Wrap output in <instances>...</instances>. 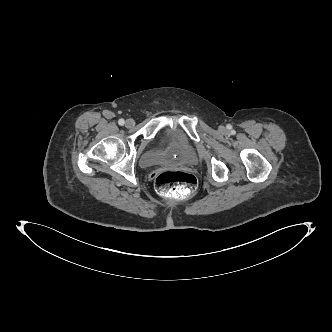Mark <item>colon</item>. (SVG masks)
I'll return each instance as SVG.
<instances>
[{
	"mask_svg": "<svg viewBox=\"0 0 332 332\" xmlns=\"http://www.w3.org/2000/svg\"><path fill=\"white\" fill-rule=\"evenodd\" d=\"M156 190L165 196L184 198L197 188L196 177L185 171H161L154 177Z\"/></svg>",
	"mask_w": 332,
	"mask_h": 332,
	"instance_id": "5ec220e1",
	"label": "colon"
}]
</instances>
